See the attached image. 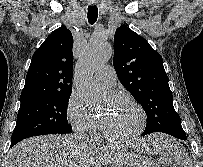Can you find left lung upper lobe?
I'll use <instances>...</instances> for the list:
<instances>
[{
  "instance_id": "left-lung-upper-lobe-1",
  "label": "left lung upper lobe",
  "mask_w": 203,
  "mask_h": 167,
  "mask_svg": "<svg viewBox=\"0 0 203 167\" xmlns=\"http://www.w3.org/2000/svg\"><path fill=\"white\" fill-rule=\"evenodd\" d=\"M113 65L122 85L147 115L143 134L163 132L186 136L173 106L161 55L126 25L115 32Z\"/></svg>"
}]
</instances>
